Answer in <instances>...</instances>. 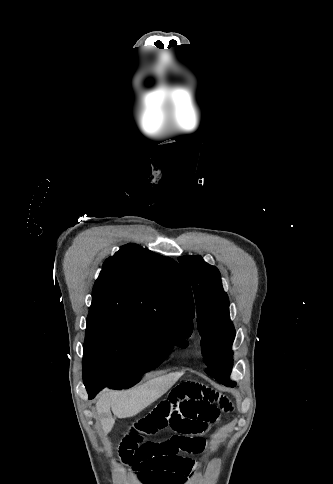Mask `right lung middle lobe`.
<instances>
[{"mask_svg": "<svg viewBox=\"0 0 333 484\" xmlns=\"http://www.w3.org/2000/svg\"><path fill=\"white\" fill-rule=\"evenodd\" d=\"M193 328L181 319L89 313L83 352L85 385L126 389L155 369L174 347L185 348Z\"/></svg>", "mask_w": 333, "mask_h": 484, "instance_id": "dd1d6c3e", "label": "right lung middle lobe"}]
</instances>
